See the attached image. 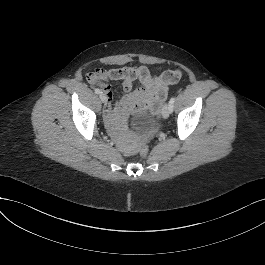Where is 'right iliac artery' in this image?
<instances>
[{"label": "right iliac artery", "mask_w": 265, "mask_h": 265, "mask_svg": "<svg viewBox=\"0 0 265 265\" xmlns=\"http://www.w3.org/2000/svg\"><path fill=\"white\" fill-rule=\"evenodd\" d=\"M95 93H96V94H101L102 92H101V90H100L99 88H96V89H95Z\"/></svg>", "instance_id": "right-iliac-artery-1"}]
</instances>
